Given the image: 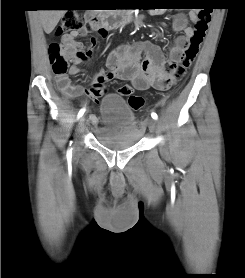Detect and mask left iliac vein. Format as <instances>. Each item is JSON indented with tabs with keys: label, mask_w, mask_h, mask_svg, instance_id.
Wrapping results in <instances>:
<instances>
[{
	"label": "left iliac vein",
	"mask_w": 245,
	"mask_h": 278,
	"mask_svg": "<svg viewBox=\"0 0 245 278\" xmlns=\"http://www.w3.org/2000/svg\"><path fill=\"white\" fill-rule=\"evenodd\" d=\"M148 125H149V129L151 131H155L156 130V121L154 119H149L148 120Z\"/></svg>",
	"instance_id": "1"
}]
</instances>
